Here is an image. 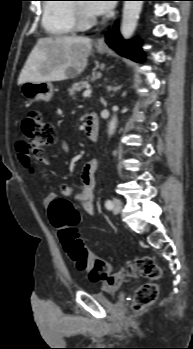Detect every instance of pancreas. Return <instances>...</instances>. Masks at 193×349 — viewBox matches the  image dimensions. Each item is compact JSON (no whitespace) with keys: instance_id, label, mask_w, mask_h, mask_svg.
<instances>
[{"instance_id":"1","label":"pancreas","mask_w":193,"mask_h":349,"mask_svg":"<svg viewBox=\"0 0 193 349\" xmlns=\"http://www.w3.org/2000/svg\"><path fill=\"white\" fill-rule=\"evenodd\" d=\"M88 77L86 78V80H81V81H78L76 83H74L69 89H68V92H69V95L75 99L76 98V93L77 92H80L81 89L85 88L88 86Z\"/></svg>"}]
</instances>
